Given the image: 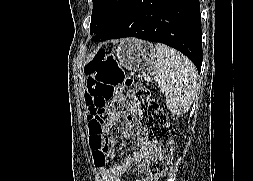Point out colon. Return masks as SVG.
Wrapping results in <instances>:
<instances>
[{
	"label": "colon",
	"instance_id": "obj_1",
	"mask_svg": "<svg viewBox=\"0 0 253 181\" xmlns=\"http://www.w3.org/2000/svg\"><path fill=\"white\" fill-rule=\"evenodd\" d=\"M93 55V59L85 68L89 86L87 103L93 116L104 122L107 103L117 93V87L130 86L132 82L129 78H124L108 50H93ZM134 101V113L139 126L158 149V155L148 165L147 175V181H157L170 166L174 150L173 138L177 128L168 121L164 112L160 110L158 101L144 86L135 87Z\"/></svg>",
	"mask_w": 253,
	"mask_h": 181
}]
</instances>
